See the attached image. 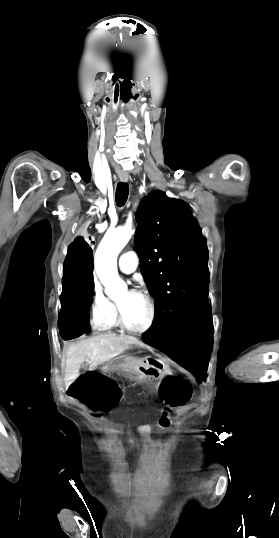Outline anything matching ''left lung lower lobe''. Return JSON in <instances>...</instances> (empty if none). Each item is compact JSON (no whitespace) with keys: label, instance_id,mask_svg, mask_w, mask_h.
<instances>
[{"label":"left lung lower lobe","instance_id":"obj_1","mask_svg":"<svg viewBox=\"0 0 279 538\" xmlns=\"http://www.w3.org/2000/svg\"><path fill=\"white\" fill-rule=\"evenodd\" d=\"M213 324L208 300L193 307L187 317L163 335L143 334V340L189 370L199 382L206 374L212 350Z\"/></svg>","mask_w":279,"mask_h":538}]
</instances>
